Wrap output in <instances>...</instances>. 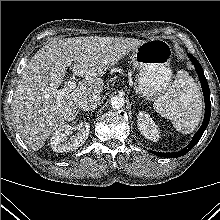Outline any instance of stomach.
<instances>
[{"label":"stomach","instance_id":"0dacf381","mask_svg":"<svg viewBox=\"0 0 220 220\" xmlns=\"http://www.w3.org/2000/svg\"><path fill=\"white\" fill-rule=\"evenodd\" d=\"M138 70L134 90L147 100L156 101L171 87L172 49L163 39H152L132 50L130 56Z\"/></svg>","mask_w":220,"mask_h":220}]
</instances>
